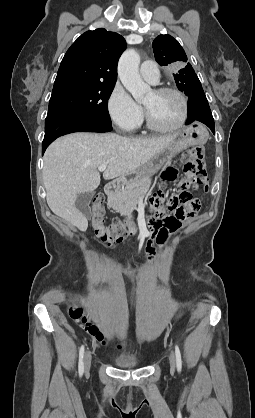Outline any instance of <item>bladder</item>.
Listing matches in <instances>:
<instances>
[{"instance_id": "bladder-1", "label": "bladder", "mask_w": 255, "mask_h": 418, "mask_svg": "<svg viewBox=\"0 0 255 418\" xmlns=\"http://www.w3.org/2000/svg\"><path fill=\"white\" fill-rule=\"evenodd\" d=\"M113 362L120 368H133L139 366L142 360L134 355H118L113 358Z\"/></svg>"}]
</instances>
